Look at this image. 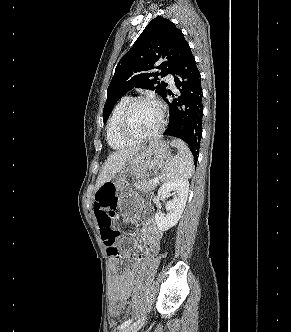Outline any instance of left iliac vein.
Listing matches in <instances>:
<instances>
[{
    "label": "left iliac vein",
    "instance_id": "1",
    "mask_svg": "<svg viewBox=\"0 0 291 332\" xmlns=\"http://www.w3.org/2000/svg\"><path fill=\"white\" fill-rule=\"evenodd\" d=\"M142 322H136L131 326H127L120 330V332H137L139 328L141 327Z\"/></svg>",
    "mask_w": 291,
    "mask_h": 332
}]
</instances>
